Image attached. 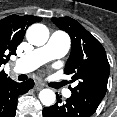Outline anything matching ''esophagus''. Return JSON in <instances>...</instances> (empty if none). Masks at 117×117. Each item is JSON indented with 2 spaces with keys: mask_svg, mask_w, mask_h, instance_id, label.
I'll return each instance as SVG.
<instances>
[{
  "mask_svg": "<svg viewBox=\"0 0 117 117\" xmlns=\"http://www.w3.org/2000/svg\"><path fill=\"white\" fill-rule=\"evenodd\" d=\"M44 88V85L43 84H41V83H36L35 84V89L36 90H41V89H43Z\"/></svg>",
  "mask_w": 117,
  "mask_h": 117,
  "instance_id": "1",
  "label": "esophagus"
}]
</instances>
